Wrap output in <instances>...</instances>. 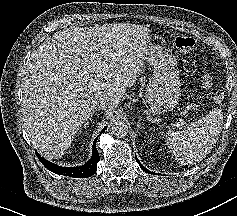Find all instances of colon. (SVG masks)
Segmentation results:
<instances>
[{
	"mask_svg": "<svg viewBox=\"0 0 237 216\" xmlns=\"http://www.w3.org/2000/svg\"><path fill=\"white\" fill-rule=\"evenodd\" d=\"M176 49L184 56H190L194 47L195 40L189 36H178L174 41ZM213 99L216 102H221L224 99V94L222 91H217L213 93Z\"/></svg>",
	"mask_w": 237,
	"mask_h": 216,
	"instance_id": "obj_1",
	"label": "colon"
}]
</instances>
